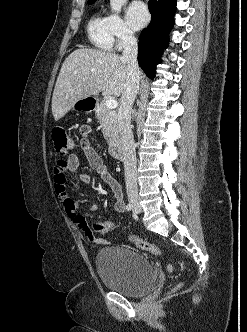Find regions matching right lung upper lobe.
<instances>
[{
	"label": "right lung upper lobe",
	"mask_w": 247,
	"mask_h": 332,
	"mask_svg": "<svg viewBox=\"0 0 247 332\" xmlns=\"http://www.w3.org/2000/svg\"><path fill=\"white\" fill-rule=\"evenodd\" d=\"M96 0H88V3L89 4H92V3H94Z\"/></svg>",
	"instance_id": "obj_1"
}]
</instances>
